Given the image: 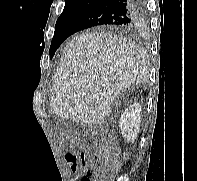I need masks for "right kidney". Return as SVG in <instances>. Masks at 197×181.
<instances>
[{
	"label": "right kidney",
	"mask_w": 197,
	"mask_h": 181,
	"mask_svg": "<svg viewBox=\"0 0 197 181\" xmlns=\"http://www.w3.org/2000/svg\"><path fill=\"white\" fill-rule=\"evenodd\" d=\"M141 111V105L134 103L121 114L119 127L121 129L122 136L128 141H134L139 133Z\"/></svg>",
	"instance_id": "right-kidney-1"
}]
</instances>
